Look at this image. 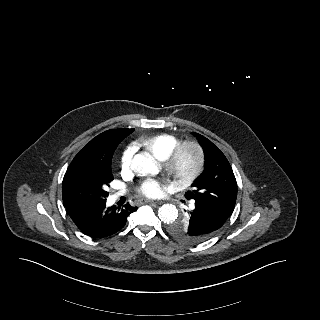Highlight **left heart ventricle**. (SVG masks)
Returning <instances> with one entry per match:
<instances>
[{
    "label": "left heart ventricle",
    "instance_id": "obj_1",
    "mask_svg": "<svg viewBox=\"0 0 320 320\" xmlns=\"http://www.w3.org/2000/svg\"><path fill=\"white\" fill-rule=\"evenodd\" d=\"M194 165V154L192 151H186L180 162V169L183 172H187L192 169Z\"/></svg>",
    "mask_w": 320,
    "mask_h": 320
}]
</instances>
